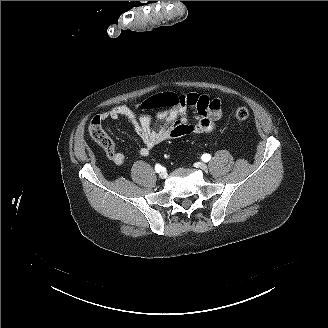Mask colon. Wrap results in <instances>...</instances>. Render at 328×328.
Masks as SVG:
<instances>
[{
  "mask_svg": "<svg viewBox=\"0 0 328 328\" xmlns=\"http://www.w3.org/2000/svg\"><path fill=\"white\" fill-rule=\"evenodd\" d=\"M180 103V97L171 92L159 93L153 95L141 103L138 107L142 110H151L164 107H175ZM249 110L246 107H239L235 110V118L239 121H244L249 118ZM89 133L92 139L106 152L114 148L113 141L104 131L102 120L99 116H95L89 125Z\"/></svg>",
  "mask_w": 328,
  "mask_h": 328,
  "instance_id": "colon-1",
  "label": "colon"
}]
</instances>
